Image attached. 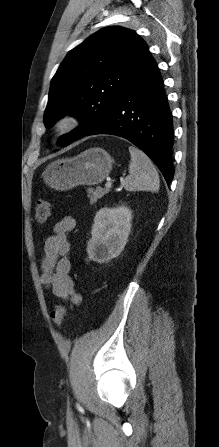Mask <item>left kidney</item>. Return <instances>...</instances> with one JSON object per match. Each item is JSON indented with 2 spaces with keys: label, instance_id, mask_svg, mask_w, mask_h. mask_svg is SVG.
Segmentation results:
<instances>
[{
  "label": "left kidney",
  "instance_id": "obj_1",
  "mask_svg": "<svg viewBox=\"0 0 219 447\" xmlns=\"http://www.w3.org/2000/svg\"><path fill=\"white\" fill-rule=\"evenodd\" d=\"M131 221L132 211L125 206L101 208L95 215L92 237L87 244L89 258L105 263L117 257L126 245Z\"/></svg>",
  "mask_w": 219,
  "mask_h": 447
}]
</instances>
